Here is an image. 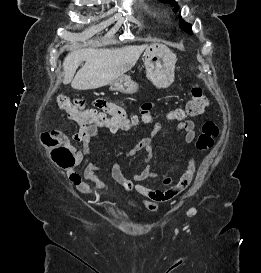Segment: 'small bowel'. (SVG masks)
Instances as JSON below:
<instances>
[{"mask_svg":"<svg viewBox=\"0 0 261 273\" xmlns=\"http://www.w3.org/2000/svg\"><path fill=\"white\" fill-rule=\"evenodd\" d=\"M94 106L96 109H99L110 116L117 117L121 122L128 119L126 111L114 103L105 100H96L94 102ZM153 107L154 106L152 104L148 103L144 104L141 110L142 112H150ZM68 114V117L79 125V130L71 135V139L75 142L81 143V146L70 144L69 140H67V142L73 149L76 158L75 164L72 167L68 168L67 173L70 181L74 184L78 191L88 195H92L94 193V189L84 180L92 182L95 189L99 191H106L108 189V186L104 181L99 179L97 174L100 172H108L112 175L114 181L119 186L123 187L127 192H136L140 194L143 197L142 199H140L141 205L150 211L157 210V203L169 201L183 191L181 190L178 193L172 194L169 189L166 191H161L157 189H152L141 184L142 181L148 179H158L162 176L161 173L154 171L150 164L153 156L151 141L152 138L160 131V123H154L150 137L143 138L135 146L124 152V155L126 157L134 156L142 150L146 152V156L142 160V164L144 165V167L140 171L135 172L132 179H129L124 175L119 163L101 166L94 162L91 154L90 143L92 140H96L98 143H102L99 126L94 124H88L83 120L75 117L74 115L70 113ZM176 129L185 132L184 140L186 143H192L195 140V125L191 120H179L176 124ZM119 130L120 129H109V131L113 133ZM84 161H87V165L85 167L82 177L81 175L76 173L73 168L81 165ZM194 172L195 164L194 161L191 159L188 162L186 170L180 176V180L188 178L190 184ZM130 204L134 205L135 203L131 201Z\"/></svg>","mask_w":261,"mask_h":273,"instance_id":"1","label":"small bowel"}]
</instances>
